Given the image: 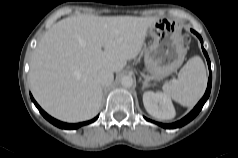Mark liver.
<instances>
[{
	"label": "liver",
	"instance_id": "1",
	"mask_svg": "<svg viewBox=\"0 0 238 158\" xmlns=\"http://www.w3.org/2000/svg\"><path fill=\"white\" fill-rule=\"evenodd\" d=\"M154 17L78 15L55 23L34 50L29 80L39 105L65 122L95 117L102 101L97 74L120 72L138 56Z\"/></svg>",
	"mask_w": 238,
	"mask_h": 158
}]
</instances>
